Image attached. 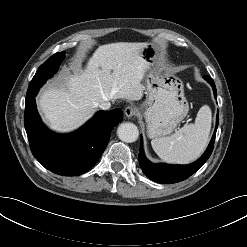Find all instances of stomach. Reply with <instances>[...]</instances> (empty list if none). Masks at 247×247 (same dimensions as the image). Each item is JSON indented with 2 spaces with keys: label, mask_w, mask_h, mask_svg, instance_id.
I'll list each match as a JSON object with an SVG mask.
<instances>
[{
  "label": "stomach",
  "mask_w": 247,
  "mask_h": 247,
  "mask_svg": "<svg viewBox=\"0 0 247 247\" xmlns=\"http://www.w3.org/2000/svg\"><path fill=\"white\" fill-rule=\"evenodd\" d=\"M150 65L145 79L146 100L141 104L149 138L170 134L186 117L189 104L184 96L180 78L158 65L159 52L154 44H147L142 52Z\"/></svg>",
  "instance_id": "stomach-1"
}]
</instances>
